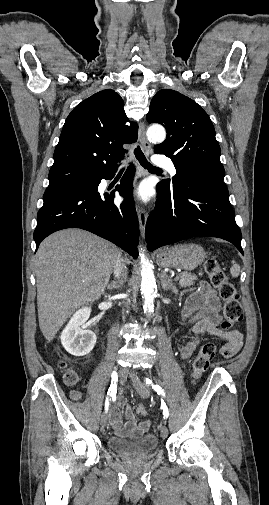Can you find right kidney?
Returning a JSON list of instances; mask_svg holds the SVG:
<instances>
[{
	"mask_svg": "<svg viewBox=\"0 0 269 505\" xmlns=\"http://www.w3.org/2000/svg\"><path fill=\"white\" fill-rule=\"evenodd\" d=\"M90 313V307L78 310L61 334V343L71 355H87L95 346L96 335L92 331L82 328L89 319Z\"/></svg>",
	"mask_w": 269,
	"mask_h": 505,
	"instance_id": "obj_1",
	"label": "right kidney"
}]
</instances>
